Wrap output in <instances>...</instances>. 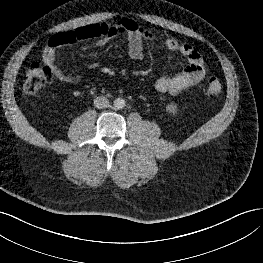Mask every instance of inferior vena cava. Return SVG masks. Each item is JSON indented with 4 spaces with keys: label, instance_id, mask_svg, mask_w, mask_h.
I'll return each instance as SVG.
<instances>
[{
    "label": "inferior vena cava",
    "instance_id": "obj_1",
    "mask_svg": "<svg viewBox=\"0 0 263 263\" xmlns=\"http://www.w3.org/2000/svg\"><path fill=\"white\" fill-rule=\"evenodd\" d=\"M94 106L98 109L107 108L109 106V100L104 96H99L94 100Z\"/></svg>",
    "mask_w": 263,
    "mask_h": 263
}]
</instances>
